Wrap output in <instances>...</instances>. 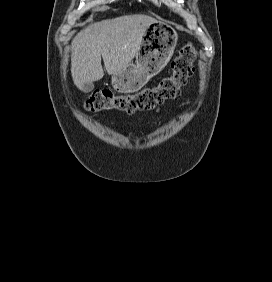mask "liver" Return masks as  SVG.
Segmentation results:
<instances>
[{
    "label": "liver",
    "mask_w": 272,
    "mask_h": 282,
    "mask_svg": "<svg viewBox=\"0 0 272 282\" xmlns=\"http://www.w3.org/2000/svg\"><path fill=\"white\" fill-rule=\"evenodd\" d=\"M155 22L147 15H124L94 23L79 32L72 41L71 53L76 87L83 91L86 83L103 78L101 56L109 75L122 71L135 57L146 28Z\"/></svg>",
    "instance_id": "6515ba94"
}]
</instances>
